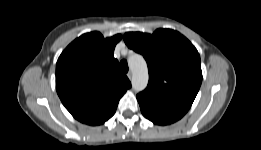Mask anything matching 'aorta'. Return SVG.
I'll use <instances>...</instances> for the list:
<instances>
[{"mask_svg":"<svg viewBox=\"0 0 261 150\" xmlns=\"http://www.w3.org/2000/svg\"><path fill=\"white\" fill-rule=\"evenodd\" d=\"M128 65L132 71V88L137 92L144 90L149 80L145 59L140 54H133L128 59Z\"/></svg>","mask_w":261,"mask_h":150,"instance_id":"obj_1","label":"aorta"}]
</instances>
